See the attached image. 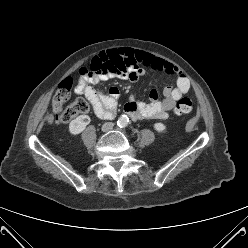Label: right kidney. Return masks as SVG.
Wrapping results in <instances>:
<instances>
[{
	"mask_svg": "<svg viewBox=\"0 0 248 248\" xmlns=\"http://www.w3.org/2000/svg\"><path fill=\"white\" fill-rule=\"evenodd\" d=\"M91 119L88 115H80L69 124V132L73 135L80 134L90 123Z\"/></svg>",
	"mask_w": 248,
	"mask_h": 248,
	"instance_id": "1",
	"label": "right kidney"
}]
</instances>
